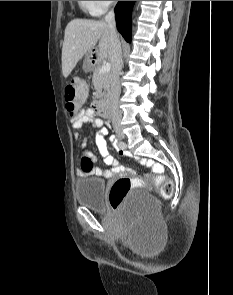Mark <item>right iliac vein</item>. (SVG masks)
Instances as JSON below:
<instances>
[{
    "instance_id": "right-iliac-vein-1",
    "label": "right iliac vein",
    "mask_w": 233,
    "mask_h": 295,
    "mask_svg": "<svg viewBox=\"0 0 233 295\" xmlns=\"http://www.w3.org/2000/svg\"><path fill=\"white\" fill-rule=\"evenodd\" d=\"M115 132H116V134L120 137V138H124V134H123V132H122V129H121V127L120 126H115Z\"/></svg>"
}]
</instances>
